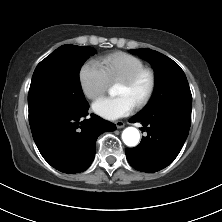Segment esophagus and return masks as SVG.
Returning <instances> with one entry per match:
<instances>
[{
	"label": "esophagus",
	"mask_w": 222,
	"mask_h": 222,
	"mask_svg": "<svg viewBox=\"0 0 222 222\" xmlns=\"http://www.w3.org/2000/svg\"><path fill=\"white\" fill-rule=\"evenodd\" d=\"M115 124H116V127L119 129L125 126V123L123 121H116Z\"/></svg>",
	"instance_id": "esophagus-1"
}]
</instances>
